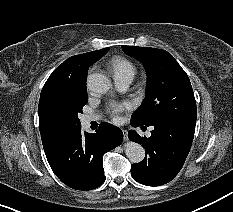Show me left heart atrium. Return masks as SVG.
<instances>
[{"mask_svg": "<svg viewBox=\"0 0 233 212\" xmlns=\"http://www.w3.org/2000/svg\"><path fill=\"white\" fill-rule=\"evenodd\" d=\"M129 107L126 103H112L109 107L110 114L112 115L113 119L118 121L119 115L121 112H123L125 109Z\"/></svg>", "mask_w": 233, "mask_h": 212, "instance_id": "obj_1", "label": "left heart atrium"}]
</instances>
